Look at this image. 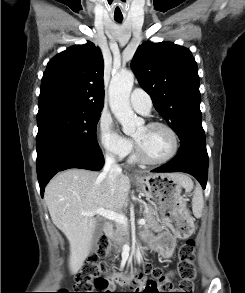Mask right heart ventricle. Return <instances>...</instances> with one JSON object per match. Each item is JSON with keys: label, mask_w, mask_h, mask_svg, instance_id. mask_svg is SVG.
I'll use <instances>...</instances> for the list:
<instances>
[{"label": "right heart ventricle", "mask_w": 245, "mask_h": 293, "mask_svg": "<svg viewBox=\"0 0 245 293\" xmlns=\"http://www.w3.org/2000/svg\"><path fill=\"white\" fill-rule=\"evenodd\" d=\"M136 160H137L136 157L131 158V161H136Z\"/></svg>", "instance_id": "right-heart-ventricle-1"}]
</instances>
